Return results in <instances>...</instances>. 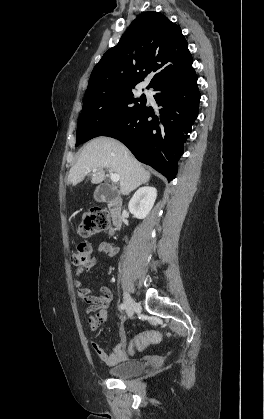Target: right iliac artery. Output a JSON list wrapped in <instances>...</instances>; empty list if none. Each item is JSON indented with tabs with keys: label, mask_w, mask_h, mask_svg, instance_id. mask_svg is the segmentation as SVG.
<instances>
[{
	"label": "right iliac artery",
	"mask_w": 264,
	"mask_h": 419,
	"mask_svg": "<svg viewBox=\"0 0 264 419\" xmlns=\"http://www.w3.org/2000/svg\"><path fill=\"white\" fill-rule=\"evenodd\" d=\"M126 307H125V304H121L120 305V310H124Z\"/></svg>",
	"instance_id": "right-iliac-artery-1"
}]
</instances>
